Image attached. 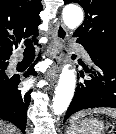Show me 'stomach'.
<instances>
[{
	"mask_svg": "<svg viewBox=\"0 0 116 134\" xmlns=\"http://www.w3.org/2000/svg\"><path fill=\"white\" fill-rule=\"evenodd\" d=\"M104 124L96 118H86L81 121L72 123L68 130V134H102L104 132Z\"/></svg>",
	"mask_w": 116,
	"mask_h": 134,
	"instance_id": "obj_1",
	"label": "stomach"
}]
</instances>
